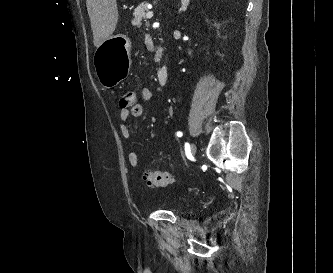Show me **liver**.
<instances>
[{
	"label": "liver",
	"instance_id": "liver-1",
	"mask_svg": "<svg viewBox=\"0 0 333 273\" xmlns=\"http://www.w3.org/2000/svg\"><path fill=\"white\" fill-rule=\"evenodd\" d=\"M87 11L93 31V42L99 47L111 37L118 22L116 0H86Z\"/></svg>",
	"mask_w": 333,
	"mask_h": 273
}]
</instances>
